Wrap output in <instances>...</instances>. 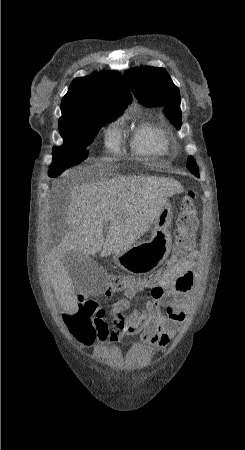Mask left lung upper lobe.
I'll list each match as a JSON object with an SVG mask.
<instances>
[{"instance_id": "1", "label": "left lung upper lobe", "mask_w": 245, "mask_h": 450, "mask_svg": "<svg viewBox=\"0 0 245 450\" xmlns=\"http://www.w3.org/2000/svg\"><path fill=\"white\" fill-rule=\"evenodd\" d=\"M124 75L135 97L141 103L146 106H164L167 118L180 129V92L164 68L151 66L134 68L126 71ZM187 168L199 177L194 158H188Z\"/></svg>"}]
</instances>
